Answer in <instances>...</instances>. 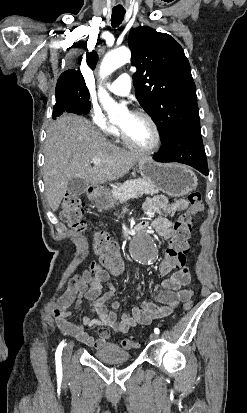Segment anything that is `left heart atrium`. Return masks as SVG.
Wrapping results in <instances>:
<instances>
[{
	"label": "left heart atrium",
	"instance_id": "left-heart-atrium-1",
	"mask_svg": "<svg viewBox=\"0 0 247 413\" xmlns=\"http://www.w3.org/2000/svg\"><path fill=\"white\" fill-rule=\"evenodd\" d=\"M137 119L136 115L130 114L127 124L132 125L133 122Z\"/></svg>",
	"mask_w": 247,
	"mask_h": 413
}]
</instances>
